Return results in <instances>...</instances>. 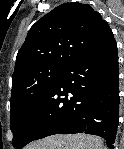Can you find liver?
Returning <instances> with one entry per match:
<instances>
[{"label": "liver", "instance_id": "liver-1", "mask_svg": "<svg viewBox=\"0 0 124 149\" xmlns=\"http://www.w3.org/2000/svg\"><path fill=\"white\" fill-rule=\"evenodd\" d=\"M101 139L83 134L57 135L29 145L26 149H102Z\"/></svg>", "mask_w": 124, "mask_h": 149}]
</instances>
